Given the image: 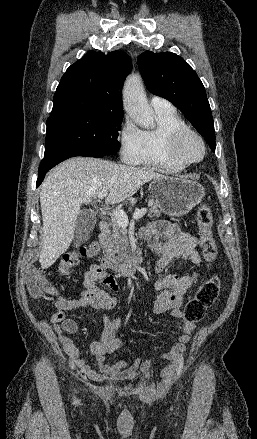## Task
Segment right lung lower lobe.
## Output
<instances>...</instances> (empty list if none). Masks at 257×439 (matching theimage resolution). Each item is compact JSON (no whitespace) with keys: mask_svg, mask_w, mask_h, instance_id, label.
I'll use <instances>...</instances> for the list:
<instances>
[{"mask_svg":"<svg viewBox=\"0 0 257 439\" xmlns=\"http://www.w3.org/2000/svg\"><path fill=\"white\" fill-rule=\"evenodd\" d=\"M75 156H90V157H103L105 155L93 152H76V153H63L52 157L44 158L39 166V177L37 179V187L41 184L44 179L45 174L55 165L60 162Z\"/></svg>","mask_w":257,"mask_h":439,"instance_id":"obj_1","label":"right lung lower lobe"}]
</instances>
